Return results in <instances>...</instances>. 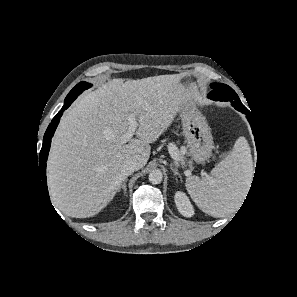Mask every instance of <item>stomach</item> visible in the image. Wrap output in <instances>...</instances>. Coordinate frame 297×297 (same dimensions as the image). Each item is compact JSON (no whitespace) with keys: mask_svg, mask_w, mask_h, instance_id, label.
<instances>
[{"mask_svg":"<svg viewBox=\"0 0 297 297\" xmlns=\"http://www.w3.org/2000/svg\"><path fill=\"white\" fill-rule=\"evenodd\" d=\"M188 154L196 163H203L212 155L213 138L205 116L197 105L186 100L179 110Z\"/></svg>","mask_w":297,"mask_h":297,"instance_id":"0dacf381","label":"stomach"}]
</instances>
